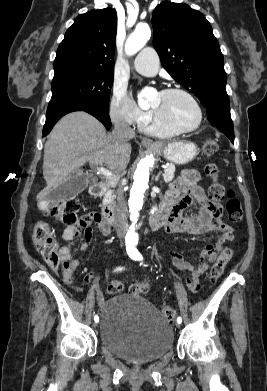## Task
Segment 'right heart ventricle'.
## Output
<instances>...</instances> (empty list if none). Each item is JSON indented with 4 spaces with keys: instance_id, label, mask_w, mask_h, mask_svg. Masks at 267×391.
<instances>
[{
    "instance_id": "1",
    "label": "right heart ventricle",
    "mask_w": 267,
    "mask_h": 391,
    "mask_svg": "<svg viewBox=\"0 0 267 391\" xmlns=\"http://www.w3.org/2000/svg\"><path fill=\"white\" fill-rule=\"evenodd\" d=\"M141 129L146 132V133H149V134H152V135H155V136H158V137H171V136H174L175 132L171 131V130H168L166 128H163L159 125H157L154 120H152L151 118L143 125L141 126Z\"/></svg>"
}]
</instances>
